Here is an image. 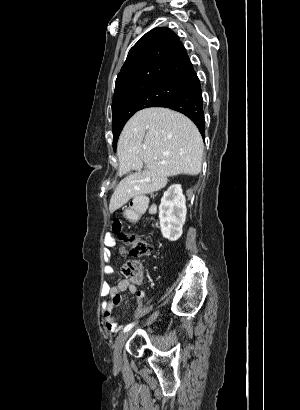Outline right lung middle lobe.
<instances>
[{
  "label": "right lung middle lobe",
  "mask_w": 300,
  "mask_h": 410,
  "mask_svg": "<svg viewBox=\"0 0 300 410\" xmlns=\"http://www.w3.org/2000/svg\"><path fill=\"white\" fill-rule=\"evenodd\" d=\"M187 85L184 82H162L125 90L113 101V148L123 126L137 111L147 107H159L176 97Z\"/></svg>",
  "instance_id": "right-lung-middle-lobe-1"
}]
</instances>
